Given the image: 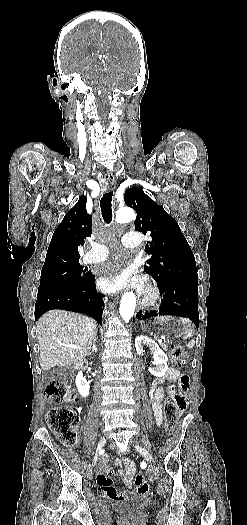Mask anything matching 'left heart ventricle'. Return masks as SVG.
Masks as SVG:
<instances>
[{"label": "left heart ventricle", "instance_id": "left-heart-ventricle-1", "mask_svg": "<svg viewBox=\"0 0 247 525\" xmlns=\"http://www.w3.org/2000/svg\"><path fill=\"white\" fill-rule=\"evenodd\" d=\"M136 266V262L135 261H131V262H128L126 265H125V268L127 270H131V269H134ZM145 286H147V283H145Z\"/></svg>", "mask_w": 247, "mask_h": 525}]
</instances>
